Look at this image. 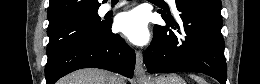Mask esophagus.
I'll return each mask as SVG.
<instances>
[{
	"instance_id": "obj_1",
	"label": "esophagus",
	"mask_w": 260,
	"mask_h": 84,
	"mask_svg": "<svg viewBox=\"0 0 260 84\" xmlns=\"http://www.w3.org/2000/svg\"><path fill=\"white\" fill-rule=\"evenodd\" d=\"M135 79L138 83H141L148 79V74L143 65V55L140 50L136 51V64H135Z\"/></svg>"
}]
</instances>
